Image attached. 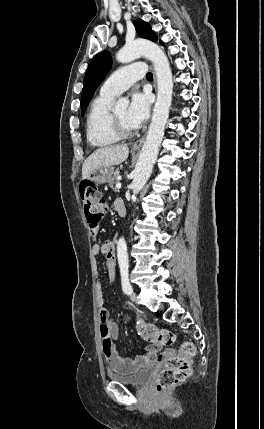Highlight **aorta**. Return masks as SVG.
<instances>
[{
    "mask_svg": "<svg viewBox=\"0 0 264 429\" xmlns=\"http://www.w3.org/2000/svg\"><path fill=\"white\" fill-rule=\"evenodd\" d=\"M141 56L150 59L154 64L158 91L147 137L142 146L135 166L133 181L130 185L133 194H138L142 190L153 170L169 117L173 93V77L168 58L156 43L137 39L127 43L117 53L116 59L121 63H129ZM117 104L120 107H127L129 100L120 98ZM117 258L120 269L128 268L127 244L124 238H120L117 242Z\"/></svg>",
    "mask_w": 264,
    "mask_h": 429,
    "instance_id": "762f6f07",
    "label": "aorta"
}]
</instances>
